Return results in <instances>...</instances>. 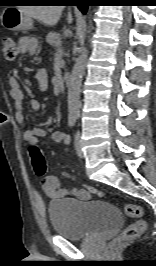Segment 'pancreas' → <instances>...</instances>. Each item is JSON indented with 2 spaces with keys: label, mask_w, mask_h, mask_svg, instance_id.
Here are the masks:
<instances>
[{
  "label": "pancreas",
  "mask_w": 156,
  "mask_h": 266,
  "mask_svg": "<svg viewBox=\"0 0 156 266\" xmlns=\"http://www.w3.org/2000/svg\"><path fill=\"white\" fill-rule=\"evenodd\" d=\"M46 41L47 43H49L50 45L54 47H59L61 45L60 35L55 32H50L46 36Z\"/></svg>",
  "instance_id": "obj_1"
}]
</instances>
